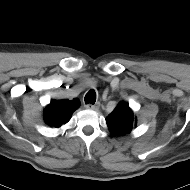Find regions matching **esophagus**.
I'll use <instances>...</instances> for the list:
<instances>
[{"label":"esophagus","instance_id":"1","mask_svg":"<svg viewBox=\"0 0 190 190\" xmlns=\"http://www.w3.org/2000/svg\"><path fill=\"white\" fill-rule=\"evenodd\" d=\"M85 107L87 109H89V110H95V111H97L99 109V104H95V105H93V104H87Z\"/></svg>","mask_w":190,"mask_h":190}]
</instances>
